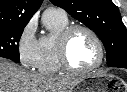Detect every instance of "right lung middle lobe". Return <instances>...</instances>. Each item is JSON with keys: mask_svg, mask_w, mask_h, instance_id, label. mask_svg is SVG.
I'll return each instance as SVG.
<instances>
[{"mask_svg": "<svg viewBox=\"0 0 127 92\" xmlns=\"http://www.w3.org/2000/svg\"><path fill=\"white\" fill-rule=\"evenodd\" d=\"M25 26L0 27V57L19 60L18 44Z\"/></svg>", "mask_w": 127, "mask_h": 92, "instance_id": "1", "label": "right lung middle lobe"}]
</instances>
